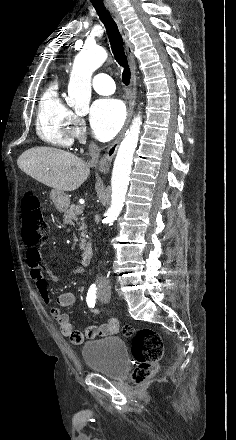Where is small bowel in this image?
Instances as JSON below:
<instances>
[{
    "label": "small bowel",
    "mask_w": 236,
    "mask_h": 440,
    "mask_svg": "<svg viewBox=\"0 0 236 440\" xmlns=\"http://www.w3.org/2000/svg\"><path fill=\"white\" fill-rule=\"evenodd\" d=\"M26 263L29 268L30 277L34 280L37 291L42 300L46 304H50L52 299L50 297L48 280L43 274L42 258L39 249L35 245H27L25 249ZM49 278L58 282L61 277L54 275L51 270H46ZM82 269L78 268L71 272L69 276L80 275ZM75 302V295L72 292L66 291L58 295L56 303L60 307L72 306ZM92 317L98 315V310L90 311ZM51 317L59 325V330L62 336L68 337L74 345H80L86 338L97 337L99 340L113 339L115 332L118 329V322L114 319L109 321H99L98 324H90L85 331L75 330L68 314L63 313L60 308L52 307L50 310Z\"/></svg>",
    "instance_id": "1"
}]
</instances>
